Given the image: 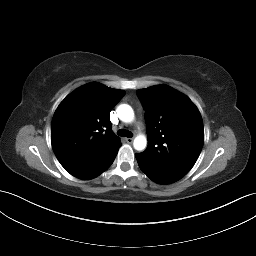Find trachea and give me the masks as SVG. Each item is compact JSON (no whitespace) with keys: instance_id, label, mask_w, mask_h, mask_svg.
<instances>
[{"instance_id":"trachea-1","label":"trachea","mask_w":256,"mask_h":256,"mask_svg":"<svg viewBox=\"0 0 256 256\" xmlns=\"http://www.w3.org/2000/svg\"><path fill=\"white\" fill-rule=\"evenodd\" d=\"M118 135L119 136H122V137H128V138H131L132 137V132L129 131V130H125V129H120L118 130Z\"/></svg>"}]
</instances>
